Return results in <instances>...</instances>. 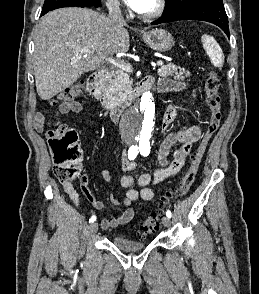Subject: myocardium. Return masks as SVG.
<instances>
[{
	"mask_svg": "<svg viewBox=\"0 0 259 294\" xmlns=\"http://www.w3.org/2000/svg\"><path fill=\"white\" fill-rule=\"evenodd\" d=\"M166 5H167L166 0H157L156 7L153 11H151L149 13H139L138 12V16L144 20H153V19L159 18L165 12Z\"/></svg>",
	"mask_w": 259,
	"mask_h": 294,
	"instance_id": "myocardium-1",
	"label": "myocardium"
}]
</instances>
